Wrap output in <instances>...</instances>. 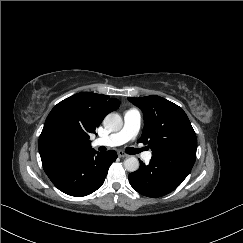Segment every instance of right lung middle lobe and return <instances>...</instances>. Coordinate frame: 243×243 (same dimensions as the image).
Masks as SVG:
<instances>
[{
  "label": "right lung middle lobe",
  "mask_w": 243,
  "mask_h": 243,
  "mask_svg": "<svg viewBox=\"0 0 243 243\" xmlns=\"http://www.w3.org/2000/svg\"><path fill=\"white\" fill-rule=\"evenodd\" d=\"M78 140L75 129L59 118L46 120L39 137V153L42 162L72 156Z\"/></svg>",
  "instance_id": "1"
}]
</instances>
